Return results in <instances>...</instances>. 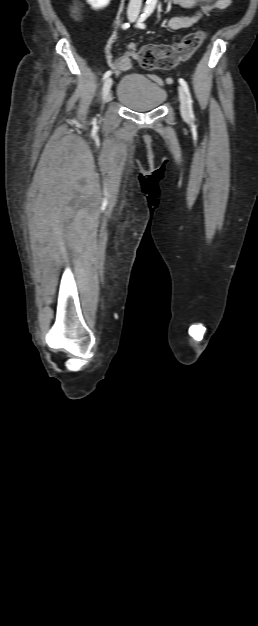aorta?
Masks as SVG:
<instances>
[{
    "label": "aorta",
    "instance_id": "762f6f07",
    "mask_svg": "<svg viewBox=\"0 0 258 626\" xmlns=\"http://www.w3.org/2000/svg\"><path fill=\"white\" fill-rule=\"evenodd\" d=\"M157 0H147V9H154L156 6Z\"/></svg>",
    "mask_w": 258,
    "mask_h": 626
}]
</instances>
